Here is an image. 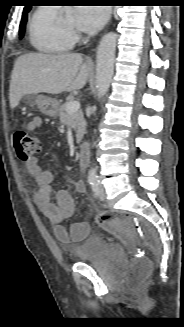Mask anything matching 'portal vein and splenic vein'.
I'll use <instances>...</instances> for the list:
<instances>
[{"label":"portal vein and splenic vein","instance_id":"18ae733b","mask_svg":"<svg viewBox=\"0 0 184 327\" xmlns=\"http://www.w3.org/2000/svg\"><path fill=\"white\" fill-rule=\"evenodd\" d=\"M80 109V103L78 101H71L67 104V112L72 114Z\"/></svg>","mask_w":184,"mask_h":327}]
</instances>
